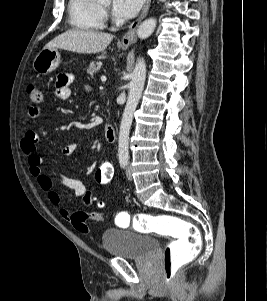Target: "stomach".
I'll return each instance as SVG.
<instances>
[{"instance_id":"obj_1","label":"stomach","mask_w":267,"mask_h":301,"mask_svg":"<svg viewBox=\"0 0 267 301\" xmlns=\"http://www.w3.org/2000/svg\"><path fill=\"white\" fill-rule=\"evenodd\" d=\"M122 49H127V46H122ZM60 63V54L57 48L43 49L33 62L34 70L41 74L47 75L54 71Z\"/></svg>"}]
</instances>
